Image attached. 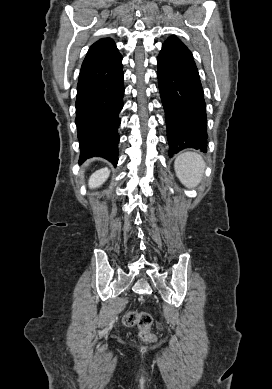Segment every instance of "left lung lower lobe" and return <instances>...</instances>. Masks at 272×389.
Returning a JSON list of instances; mask_svg holds the SVG:
<instances>
[{
  "instance_id": "left-lung-lower-lobe-1",
  "label": "left lung lower lobe",
  "mask_w": 272,
  "mask_h": 389,
  "mask_svg": "<svg viewBox=\"0 0 272 389\" xmlns=\"http://www.w3.org/2000/svg\"><path fill=\"white\" fill-rule=\"evenodd\" d=\"M157 61L169 155L185 148L206 152V104L192 54L162 46Z\"/></svg>"
}]
</instances>
